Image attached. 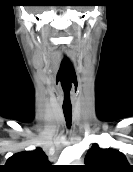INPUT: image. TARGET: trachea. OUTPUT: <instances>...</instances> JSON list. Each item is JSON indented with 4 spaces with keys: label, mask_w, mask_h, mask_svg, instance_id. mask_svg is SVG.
<instances>
[{
    "label": "trachea",
    "mask_w": 133,
    "mask_h": 172,
    "mask_svg": "<svg viewBox=\"0 0 133 172\" xmlns=\"http://www.w3.org/2000/svg\"><path fill=\"white\" fill-rule=\"evenodd\" d=\"M63 113L67 122V126H71V118H72V108L63 107Z\"/></svg>",
    "instance_id": "trachea-1"
}]
</instances>
